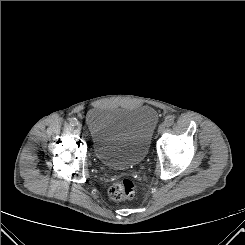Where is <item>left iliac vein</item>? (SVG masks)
Listing matches in <instances>:
<instances>
[{"instance_id":"obj_1","label":"left iliac vein","mask_w":245,"mask_h":245,"mask_svg":"<svg viewBox=\"0 0 245 245\" xmlns=\"http://www.w3.org/2000/svg\"><path fill=\"white\" fill-rule=\"evenodd\" d=\"M166 129V125L163 123V124H160L159 127H158V133L161 134L165 131Z\"/></svg>"}]
</instances>
